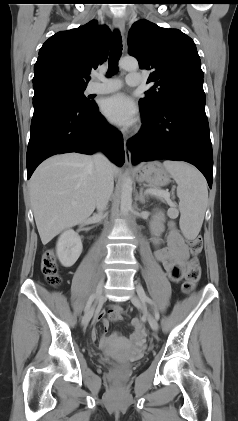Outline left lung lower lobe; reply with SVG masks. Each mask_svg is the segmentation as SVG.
<instances>
[{"label":"left lung lower lobe","mask_w":238,"mask_h":421,"mask_svg":"<svg viewBox=\"0 0 238 421\" xmlns=\"http://www.w3.org/2000/svg\"><path fill=\"white\" fill-rule=\"evenodd\" d=\"M142 114V129L128 141L134 164L159 159L193 164L212 187L213 152L205 113V93L187 92Z\"/></svg>","instance_id":"obj_1"}]
</instances>
